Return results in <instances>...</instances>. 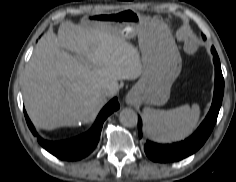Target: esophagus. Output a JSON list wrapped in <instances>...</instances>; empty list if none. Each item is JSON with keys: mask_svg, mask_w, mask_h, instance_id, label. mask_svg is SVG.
Returning a JSON list of instances; mask_svg holds the SVG:
<instances>
[{"mask_svg": "<svg viewBox=\"0 0 236 182\" xmlns=\"http://www.w3.org/2000/svg\"><path fill=\"white\" fill-rule=\"evenodd\" d=\"M126 102L130 105H134L136 103V100L132 95H129L126 99Z\"/></svg>", "mask_w": 236, "mask_h": 182, "instance_id": "1", "label": "esophagus"}]
</instances>
